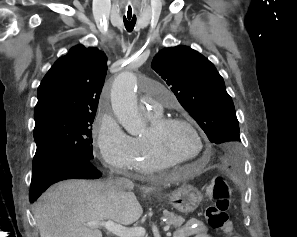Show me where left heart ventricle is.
Here are the masks:
<instances>
[{"mask_svg": "<svg viewBox=\"0 0 297 237\" xmlns=\"http://www.w3.org/2000/svg\"><path fill=\"white\" fill-rule=\"evenodd\" d=\"M150 125L144 136L148 134ZM164 151L176 159H188L197 155L199 144L192 132L183 125L165 127L157 136Z\"/></svg>", "mask_w": 297, "mask_h": 237, "instance_id": "b2bd125f", "label": "left heart ventricle"}]
</instances>
